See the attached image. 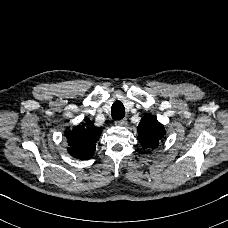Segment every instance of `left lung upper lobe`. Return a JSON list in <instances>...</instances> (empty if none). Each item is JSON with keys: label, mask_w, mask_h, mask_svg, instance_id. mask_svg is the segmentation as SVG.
I'll use <instances>...</instances> for the list:
<instances>
[{"label": "left lung upper lobe", "mask_w": 228, "mask_h": 228, "mask_svg": "<svg viewBox=\"0 0 228 228\" xmlns=\"http://www.w3.org/2000/svg\"><path fill=\"white\" fill-rule=\"evenodd\" d=\"M164 126L151 114H146L138 126V140L145 150L156 148L165 138Z\"/></svg>", "instance_id": "5c2ea615"}]
</instances>
